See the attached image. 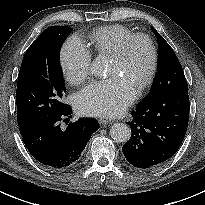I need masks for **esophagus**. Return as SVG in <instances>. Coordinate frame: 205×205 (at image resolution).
Instances as JSON below:
<instances>
[{"label": "esophagus", "mask_w": 205, "mask_h": 205, "mask_svg": "<svg viewBox=\"0 0 205 205\" xmlns=\"http://www.w3.org/2000/svg\"><path fill=\"white\" fill-rule=\"evenodd\" d=\"M97 121L100 125H106L108 123H111V121H109L107 119H103V118H98Z\"/></svg>", "instance_id": "34e87169"}]
</instances>
